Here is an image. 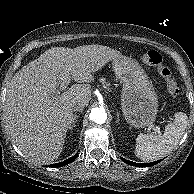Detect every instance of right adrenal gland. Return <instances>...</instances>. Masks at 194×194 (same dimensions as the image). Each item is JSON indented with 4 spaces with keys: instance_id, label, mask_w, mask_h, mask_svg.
Returning <instances> with one entry per match:
<instances>
[{
    "instance_id": "2a0ac1e0",
    "label": "right adrenal gland",
    "mask_w": 194,
    "mask_h": 194,
    "mask_svg": "<svg viewBox=\"0 0 194 194\" xmlns=\"http://www.w3.org/2000/svg\"><path fill=\"white\" fill-rule=\"evenodd\" d=\"M79 116L77 114L74 115L72 125L69 127V130H73V128L76 126V122Z\"/></svg>"
}]
</instances>
